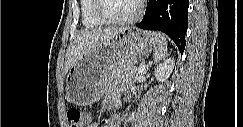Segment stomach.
Segmentation results:
<instances>
[{"instance_id": "obj_1", "label": "stomach", "mask_w": 243, "mask_h": 127, "mask_svg": "<svg viewBox=\"0 0 243 127\" xmlns=\"http://www.w3.org/2000/svg\"><path fill=\"white\" fill-rule=\"evenodd\" d=\"M154 34L127 28L73 64L66 77L69 102L86 106L98 101L114 70L142 61L155 49Z\"/></svg>"}]
</instances>
